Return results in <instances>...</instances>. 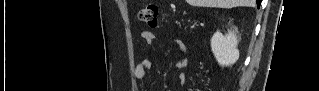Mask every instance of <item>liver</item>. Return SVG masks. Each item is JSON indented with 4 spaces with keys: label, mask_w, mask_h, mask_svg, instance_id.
Listing matches in <instances>:
<instances>
[{
    "label": "liver",
    "mask_w": 319,
    "mask_h": 91,
    "mask_svg": "<svg viewBox=\"0 0 319 91\" xmlns=\"http://www.w3.org/2000/svg\"><path fill=\"white\" fill-rule=\"evenodd\" d=\"M187 2L192 6L226 9L239 6L254 7L256 5V0H187Z\"/></svg>",
    "instance_id": "6515ba94"
}]
</instances>
